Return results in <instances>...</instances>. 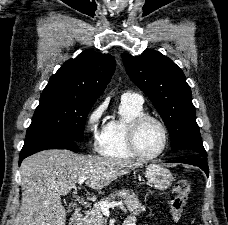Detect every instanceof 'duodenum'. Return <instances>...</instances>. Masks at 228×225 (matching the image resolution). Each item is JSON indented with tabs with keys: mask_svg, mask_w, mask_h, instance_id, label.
Returning a JSON list of instances; mask_svg holds the SVG:
<instances>
[{
	"mask_svg": "<svg viewBox=\"0 0 228 225\" xmlns=\"http://www.w3.org/2000/svg\"><path fill=\"white\" fill-rule=\"evenodd\" d=\"M82 214L83 208L81 206L77 207L74 213L72 214L68 225H82ZM123 225H136L133 218H127Z\"/></svg>",
	"mask_w": 228,
	"mask_h": 225,
	"instance_id": "410a0bca",
	"label": "duodenum"
}]
</instances>
